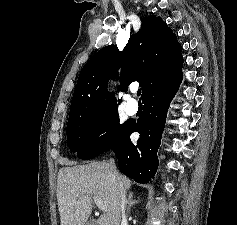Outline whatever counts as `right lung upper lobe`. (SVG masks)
Wrapping results in <instances>:
<instances>
[{
	"label": "right lung upper lobe",
	"mask_w": 237,
	"mask_h": 225,
	"mask_svg": "<svg viewBox=\"0 0 237 225\" xmlns=\"http://www.w3.org/2000/svg\"><path fill=\"white\" fill-rule=\"evenodd\" d=\"M181 51L176 35L160 17L143 18L140 30L129 38L122 52L115 45L106 46L84 65L70 113L90 117L117 108L114 95L107 91V83L120 67L125 84L118 91H127V83L138 81L142 98L163 83L181 80Z\"/></svg>",
	"instance_id": "cb5924a9"
}]
</instances>
